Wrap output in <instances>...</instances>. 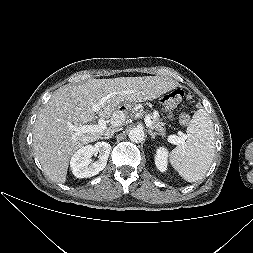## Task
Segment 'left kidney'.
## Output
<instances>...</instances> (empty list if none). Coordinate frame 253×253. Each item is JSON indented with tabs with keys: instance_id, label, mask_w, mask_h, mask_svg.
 Returning <instances> with one entry per match:
<instances>
[{
	"instance_id": "1",
	"label": "left kidney",
	"mask_w": 253,
	"mask_h": 253,
	"mask_svg": "<svg viewBox=\"0 0 253 253\" xmlns=\"http://www.w3.org/2000/svg\"><path fill=\"white\" fill-rule=\"evenodd\" d=\"M168 152L164 147H160L157 149L156 156H155V164L158 170L161 172H165L167 170L168 165Z\"/></svg>"
}]
</instances>
